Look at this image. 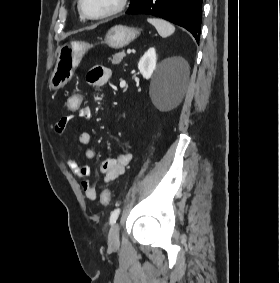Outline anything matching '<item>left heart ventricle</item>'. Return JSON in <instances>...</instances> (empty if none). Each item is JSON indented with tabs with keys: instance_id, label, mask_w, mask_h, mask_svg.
Masks as SVG:
<instances>
[{
	"instance_id": "b2bd125f",
	"label": "left heart ventricle",
	"mask_w": 280,
	"mask_h": 283,
	"mask_svg": "<svg viewBox=\"0 0 280 283\" xmlns=\"http://www.w3.org/2000/svg\"><path fill=\"white\" fill-rule=\"evenodd\" d=\"M119 0H83V7L90 15H99L113 9Z\"/></svg>"
}]
</instances>
